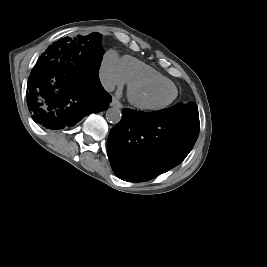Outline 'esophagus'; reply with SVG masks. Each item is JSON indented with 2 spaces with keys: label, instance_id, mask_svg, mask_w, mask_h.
Returning a JSON list of instances; mask_svg holds the SVG:
<instances>
[{
  "label": "esophagus",
  "instance_id": "esophagus-1",
  "mask_svg": "<svg viewBox=\"0 0 267 267\" xmlns=\"http://www.w3.org/2000/svg\"><path fill=\"white\" fill-rule=\"evenodd\" d=\"M110 106L118 107V108H122L123 107L122 103L118 99H116L115 97L112 99V102L110 103Z\"/></svg>",
  "mask_w": 267,
  "mask_h": 267
}]
</instances>
